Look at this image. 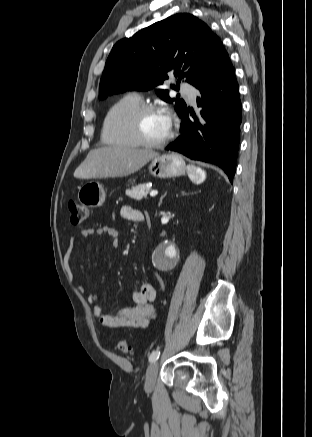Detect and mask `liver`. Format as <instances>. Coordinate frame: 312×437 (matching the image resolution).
<instances>
[{"label":"liver","mask_w":312,"mask_h":437,"mask_svg":"<svg viewBox=\"0 0 312 437\" xmlns=\"http://www.w3.org/2000/svg\"><path fill=\"white\" fill-rule=\"evenodd\" d=\"M158 153L125 146H106L91 150L75 170L80 179L124 177L137 172Z\"/></svg>","instance_id":"liver-1"}]
</instances>
